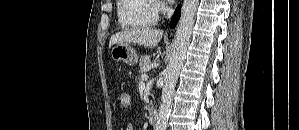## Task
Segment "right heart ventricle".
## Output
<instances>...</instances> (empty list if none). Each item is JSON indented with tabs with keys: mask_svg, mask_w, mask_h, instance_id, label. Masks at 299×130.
Returning <instances> with one entry per match:
<instances>
[{
	"mask_svg": "<svg viewBox=\"0 0 299 130\" xmlns=\"http://www.w3.org/2000/svg\"><path fill=\"white\" fill-rule=\"evenodd\" d=\"M117 13L122 27H149L154 25L158 18L153 0H119Z\"/></svg>",
	"mask_w": 299,
	"mask_h": 130,
	"instance_id": "1",
	"label": "right heart ventricle"
}]
</instances>
